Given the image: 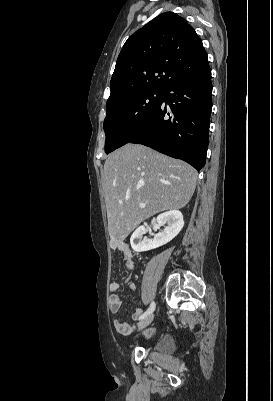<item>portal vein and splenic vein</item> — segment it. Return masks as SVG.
I'll return each mask as SVG.
<instances>
[{
  "instance_id": "18ae733b",
  "label": "portal vein and splenic vein",
  "mask_w": 273,
  "mask_h": 401,
  "mask_svg": "<svg viewBox=\"0 0 273 401\" xmlns=\"http://www.w3.org/2000/svg\"><path fill=\"white\" fill-rule=\"evenodd\" d=\"M169 184H171V182H169ZM139 207H141V209H145L146 205H144V203H139Z\"/></svg>"
}]
</instances>
